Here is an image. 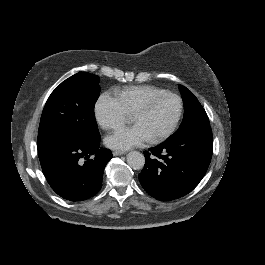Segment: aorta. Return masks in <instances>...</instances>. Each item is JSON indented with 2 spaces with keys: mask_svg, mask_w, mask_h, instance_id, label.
<instances>
[{
  "mask_svg": "<svg viewBox=\"0 0 265 265\" xmlns=\"http://www.w3.org/2000/svg\"><path fill=\"white\" fill-rule=\"evenodd\" d=\"M127 164L134 170H141L145 164L144 155L138 151H131L127 154Z\"/></svg>",
  "mask_w": 265,
  "mask_h": 265,
  "instance_id": "1",
  "label": "aorta"
}]
</instances>
